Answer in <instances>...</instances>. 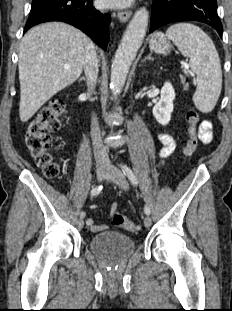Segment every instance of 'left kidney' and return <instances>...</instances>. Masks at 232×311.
Masks as SVG:
<instances>
[{"label": "left kidney", "mask_w": 232, "mask_h": 311, "mask_svg": "<svg viewBox=\"0 0 232 311\" xmlns=\"http://www.w3.org/2000/svg\"><path fill=\"white\" fill-rule=\"evenodd\" d=\"M161 97L153 107V116L161 125H167L171 120L174 106L175 91L171 83L165 82L161 89Z\"/></svg>", "instance_id": "left-kidney-1"}]
</instances>
